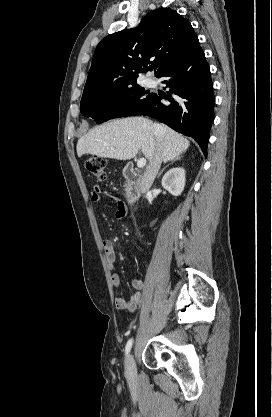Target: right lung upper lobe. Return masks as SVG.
Masks as SVG:
<instances>
[{"label":"right lung upper lobe","mask_w":272,"mask_h":417,"mask_svg":"<svg viewBox=\"0 0 272 417\" xmlns=\"http://www.w3.org/2000/svg\"><path fill=\"white\" fill-rule=\"evenodd\" d=\"M198 42L187 19L175 10H156L137 28L111 34L98 44L83 94L132 87L149 63L157 77Z\"/></svg>","instance_id":"1"}]
</instances>
